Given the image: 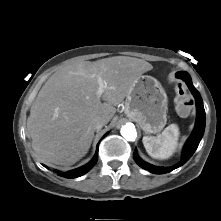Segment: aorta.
<instances>
[{
    "label": "aorta",
    "mask_w": 221,
    "mask_h": 221,
    "mask_svg": "<svg viewBox=\"0 0 221 221\" xmlns=\"http://www.w3.org/2000/svg\"><path fill=\"white\" fill-rule=\"evenodd\" d=\"M120 133L127 141H134L137 137L136 128L132 123H126Z\"/></svg>",
    "instance_id": "762f6f07"
}]
</instances>
